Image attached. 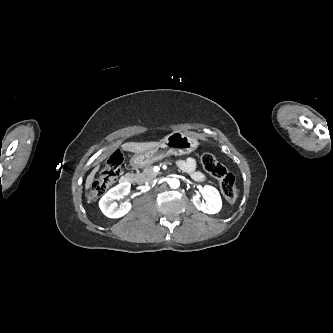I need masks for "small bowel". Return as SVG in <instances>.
<instances>
[{
    "label": "small bowel",
    "mask_w": 333,
    "mask_h": 333,
    "mask_svg": "<svg viewBox=\"0 0 333 333\" xmlns=\"http://www.w3.org/2000/svg\"><path fill=\"white\" fill-rule=\"evenodd\" d=\"M178 166L185 172L192 174L195 180L197 181L205 180V175L199 171H196V163L193 158L189 157L184 160L178 161Z\"/></svg>",
    "instance_id": "1"
}]
</instances>
